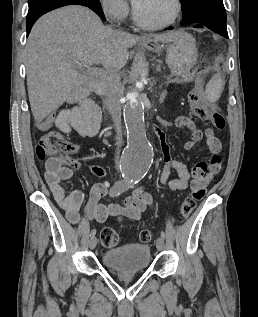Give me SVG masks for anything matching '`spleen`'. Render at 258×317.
I'll return each instance as SVG.
<instances>
[{"label":"spleen","instance_id":"obj_1","mask_svg":"<svg viewBox=\"0 0 258 317\" xmlns=\"http://www.w3.org/2000/svg\"><path fill=\"white\" fill-rule=\"evenodd\" d=\"M205 90L207 98H209V102H216V100L220 98L222 92V78L220 74H214V76H211V80L207 82Z\"/></svg>","mask_w":258,"mask_h":317}]
</instances>
